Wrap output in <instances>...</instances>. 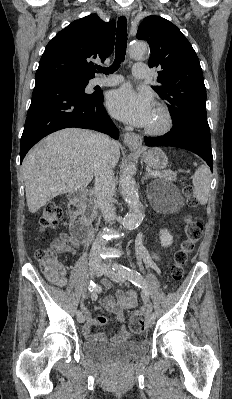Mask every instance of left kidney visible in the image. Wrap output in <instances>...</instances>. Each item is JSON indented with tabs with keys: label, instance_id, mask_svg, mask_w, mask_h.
<instances>
[{
	"label": "left kidney",
	"instance_id": "obj_1",
	"mask_svg": "<svg viewBox=\"0 0 232 399\" xmlns=\"http://www.w3.org/2000/svg\"><path fill=\"white\" fill-rule=\"evenodd\" d=\"M160 239L161 245H165V247H168V245H170V243H172L173 241V235L169 233L168 229H161Z\"/></svg>",
	"mask_w": 232,
	"mask_h": 399
}]
</instances>
